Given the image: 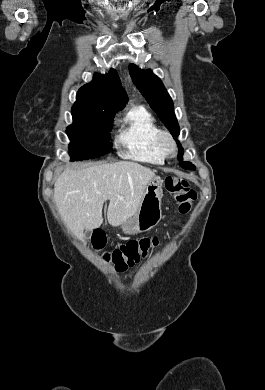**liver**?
<instances>
[{
	"instance_id": "6515ba94",
	"label": "liver",
	"mask_w": 265,
	"mask_h": 390,
	"mask_svg": "<svg viewBox=\"0 0 265 390\" xmlns=\"http://www.w3.org/2000/svg\"><path fill=\"white\" fill-rule=\"evenodd\" d=\"M155 171L130 161L105 163L81 170L67 168L55 181L54 202L67 227L83 240V231L103 223V204L109 201L108 223L117 227L136 214Z\"/></svg>"
}]
</instances>
